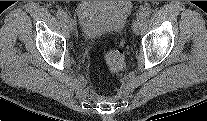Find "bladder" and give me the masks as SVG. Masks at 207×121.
<instances>
[{
    "label": "bladder",
    "instance_id": "bladder-1",
    "mask_svg": "<svg viewBox=\"0 0 207 121\" xmlns=\"http://www.w3.org/2000/svg\"><path fill=\"white\" fill-rule=\"evenodd\" d=\"M130 1H80L76 7L81 33L89 41L121 32L132 13Z\"/></svg>",
    "mask_w": 207,
    "mask_h": 121
}]
</instances>
